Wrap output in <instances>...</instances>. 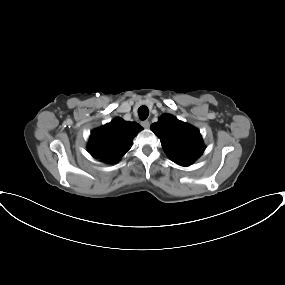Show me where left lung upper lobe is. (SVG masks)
Returning a JSON list of instances; mask_svg holds the SVG:
<instances>
[{"mask_svg":"<svg viewBox=\"0 0 285 285\" xmlns=\"http://www.w3.org/2000/svg\"><path fill=\"white\" fill-rule=\"evenodd\" d=\"M150 129L168 157L181 166L191 165L205 150L199 130L173 115L163 114Z\"/></svg>","mask_w":285,"mask_h":285,"instance_id":"obj_1","label":"left lung upper lobe"}]
</instances>
